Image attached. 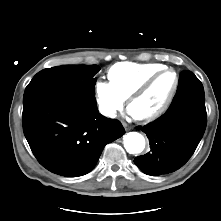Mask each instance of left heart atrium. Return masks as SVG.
<instances>
[{
  "instance_id": "39dd6f15",
  "label": "left heart atrium",
  "mask_w": 221,
  "mask_h": 221,
  "mask_svg": "<svg viewBox=\"0 0 221 221\" xmlns=\"http://www.w3.org/2000/svg\"><path fill=\"white\" fill-rule=\"evenodd\" d=\"M128 114H129V115H131L132 117L134 116V115L131 113V111H130V110H129Z\"/></svg>"
}]
</instances>
